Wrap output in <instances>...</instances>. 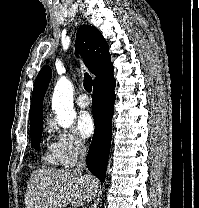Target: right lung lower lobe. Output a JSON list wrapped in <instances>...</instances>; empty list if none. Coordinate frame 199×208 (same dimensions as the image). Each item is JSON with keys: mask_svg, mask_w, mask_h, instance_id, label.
Returning <instances> with one entry per match:
<instances>
[{"mask_svg": "<svg viewBox=\"0 0 199 208\" xmlns=\"http://www.w3.org/2000/svg\"><path fill=\"white\" fill-rule=\"evenodd\" d=\"M115 79L94 86L92 108L95 133L87 155V168L104 181L111 146V123L114 112Z\"/></svg>", "mask_w": 199, "mask_h": 208, "instance_id": "right-lung-lower-lobe-1", "label": "right lung lower lobe"}]
</instances>
